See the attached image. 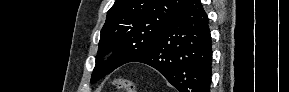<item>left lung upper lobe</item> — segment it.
Here are the masks:
<instances>
[{
	"label": "left lung upper lobe",
	"instance_id": "obj_1",
	"mask_svg": "<svg viewBox=\"0 0 289 92\" xmlns=\"http://www.w3.org/2000/svg\"><path fill=\"white\" fill-rule=\"evenodd\" d=\"M189 0H116L101 30L97 55L114 50L102 63L98 58L91 82L111 73L147 51Z\"/></svg>",
	"mask_w": 289,
	"mask_h": 92
}]
</instances>
